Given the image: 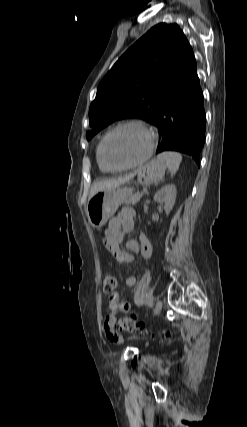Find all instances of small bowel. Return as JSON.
Wrapping results in <instances>:
<instances>
[{
    "mask_svg": "<svg viewBox=\"0 0 247 427\" xmlns=\"http://www.w3.org/2000/svg\"><path fill=\"white\" fill-rule=\"evenodd\" d=\"M135 226V213L132 209H122L120 213L110 220L108 229L105 234V247L114 255L118 264L130 271L128 264L133 261V255L130 253H139L145 261H148L152 256V245L144 234H140L139 239H130L126 241V247L130 252L123 251L120 244L125 241V235L131 232ZM136 278L129 274L125 278V284L129 287L133 286ZM131 305L128 302L120 301L118 293H112L108 298V309L104 321V331L106 337L114 343H121L122 336L114 329L116 322V314L119 312L129 311Z\"/></svg>",
    "mask_w": 247,
    "mask_h": 427,
    "instance_id": "small-bowel-1",
    "label": "small bowel"
}]
</instances>
